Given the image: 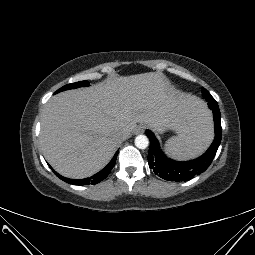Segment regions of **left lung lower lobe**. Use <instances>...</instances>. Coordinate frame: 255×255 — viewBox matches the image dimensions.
<instances>
[{"label": "left lung lower lobe", "mask_w": 255, "mask_h": 255, "mask_svg": "<svg viewBox=\"0 0 255 255\" xmlns=\"http://www.w3.org/2000/svg\"><path fill=\"white\" fill-rule=\"evenodd\" d=\"M205 98L208 102L209 108L213 112L215 138L209 149L201 157L186 162H178L169 159L160 149L159 142L153 132L146 130V135L150 139L148 153L149 167L161 178L176 182L190 180L194 176L204 172L214 159L222 136L221 116L216 100L211 95H208Z\"/></svg>", "instance_id": "obj_1"}]
</instances>
